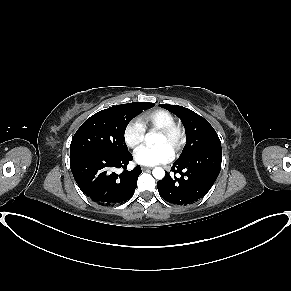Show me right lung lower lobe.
I'll use <instances>...</instances> for the list:
<instances>
[{
    "label": "right lung lower lobe",
    "instance_id": "98d812e1",
    "mask_svg": "<svg viewBox=\"0 0 291 291\" xmlns=\"http://www.w3.org/2000/svg\"><path fill=\"white\" fill-rule=\"evenodd\" d=\"M133 159L130 152L122 154L80 153L70 156L71 171L82 192L102 206L121 204L134 193L140 166L126 170ZM115 168L125 169L116 174Z\"/></svg>",
    "mask_w": 291,
    "mask_h": 291
}]
</instances>
